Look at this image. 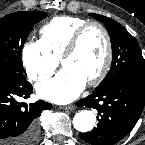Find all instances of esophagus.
I'll use <instances>...</instances> for the list:
<instances>
[{"instance_id":"esophagus-1","label":"esophagus","mask_w":145,"mask_h":145,"mask_svg":"<svg viewBox=\"0 0 145 145\" xmlns=\"http://www.w3.org/2000/svg\"><path fill=\"white\" fill-rule=\"evenodd\" d=\"M61 110H73L75 106L73 104L67 105V106H60L59 107Z\"/></svg>"}]
</instances>
